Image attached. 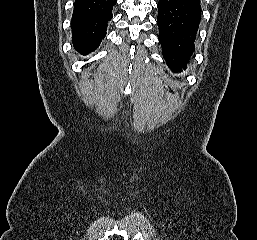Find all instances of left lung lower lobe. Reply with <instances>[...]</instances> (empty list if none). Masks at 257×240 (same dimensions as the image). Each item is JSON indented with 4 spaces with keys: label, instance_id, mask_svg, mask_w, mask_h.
I'll list each match as a JSON object with an SVG mask.
<instances>
[{
    "label": "left lung lower lobe",
    "instance_id": "0a47b994",
    "mask_svg": "<svg viewBox=\"0 0 257 240\" xmlns=\"http://www.w3.org/2000/svg\"><path fill=\"white\" fill-rule=\"evenodd\" d=\"M200 21V0L158 1V38L163 57L174 72L186 68Z\"/></svg>",
    "mask_w": 257,
    "mask_h": 240
}]
</instances>
